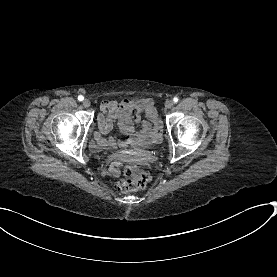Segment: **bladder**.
I'll use <instances>...</instances> for the list:
<instances>
[{
	"mask_svg": "<svg viewBox=\"0 0 277 277\" xmlns=\"http://www.w3.org/2000/svg\"><path fill=\"white\" fill-rule=\"evenodd\" d=\"M161 136H162V132H161L159 129H156V141L152 140V142H157V141H159L160 138H161ZM153 138H154V136H151V137H150V139H153Z\"/></svg>",
	"mask_w": 277,
	"mask_h": 277,
	"instance_id": "bladder-1",
	"label": "bladder"
}]
</instances>
